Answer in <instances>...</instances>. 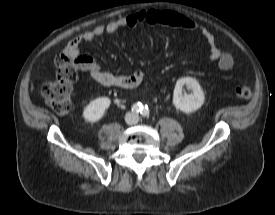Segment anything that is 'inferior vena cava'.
<instances>
[{"label": "inferior vena cava", "instance_id": "602c4592", "mask_svg": "<svg viewBox=\"0 0 275 215\" xmlns=\"http://www.w3.org/2000/svg\"><path fill=\"white\" fill-rule=\"evenodd\" d=\"M139 120V116L136 113L128 112L125 115V121L127 124H135Z\"/></svg>", "mask_w": 275, "mask_h": 215}]
</instances>
